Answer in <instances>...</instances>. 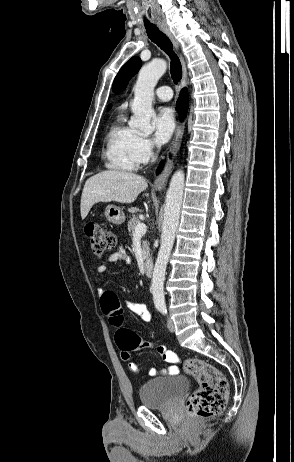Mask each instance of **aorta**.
I'll return each instance as SVG.
<instances>
[{"label": "aorta", "instance_id": "762f6f07", "mask_svg": "<svg viewBox=\"0 0 294 462\" xmlns=\"http://www.w3.org/2000/svg\"><path fill=\"white\" fill-rule=\"evenodd\" d=\"M166 69L167 63L165 60L156 59L151 61L141 68L134 86V101L131 106L134 115L129 125L132 128L139 129L144 134H150L153 131L150 121L154 115L152 108L154 88L160 77L166 72ZM184 183L185 175L183 170H177L171 178L166 193L161 244L151 280V290L156 308L165 307V273L179 224Z\"/></svg>", "mask_w": 294, "mask_h": 462}]
</instances>
